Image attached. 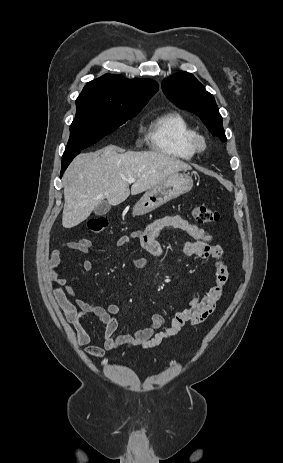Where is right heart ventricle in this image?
Listing matches in <instances>:
<instances>
[{
  "label": "right heart ventricle",
  "instance_id": "obj_1",
  "mask_svg": "<svg viewBox=\"0 0 283 463\" xmlns=\"http://www.w3.org/2000/svg\"><path fill=\"white\" fill-rule=\"evenodd\" d=\"M195 130L180 113L170 111L157 116L149 125L147 139L151 148L163 155L189 160L196 153L193 147Z\"/></svg>",
  "mask_w": 283,
  "mask_h": 463
}]
</instances>
